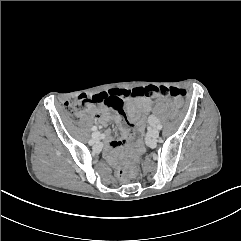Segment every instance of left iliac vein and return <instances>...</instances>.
Wrapping results in <instances>:
<instances>
[{
	"label": "left iliac vein",
	"instance_id": "left-iliac-vein-1",
	"mask_svg": "<svg viewBox=\"0 0 241 241\" xmlns=\"http://www.w3.org/2000/svg\"><path fill=\"white\" fill-rule=\"evenodd\" d=\"M149 136L151 138H157L159 136V130L157 128H153L149 132Z\"/></svg>",
	"mask_w": 241,
	"mask_h": 241
}]
</instances>
